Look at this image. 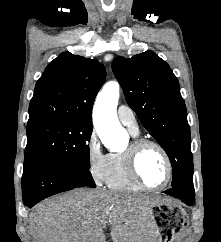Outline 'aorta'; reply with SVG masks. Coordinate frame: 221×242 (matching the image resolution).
Segmentation results:
<instances>
[{
	"label": "aorta",
	"mask_w": 221,
	"mask_h": 242,
	"mask_svg": "<svg viewBox=\"0 0 221 242\" xmlns=\"http://www.w3.org/2000/svg\"><path fill=\"white\" fill-rule=\"evenodd\" d=\"M120 86L116 81L106 83L99 92L93 110L96 132L110 150H118L126 141L127 133L121 126L117 114Z\"/></svg>",
	"instance_id": "1"
}]
</instances>
